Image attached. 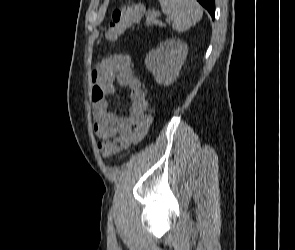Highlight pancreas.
<instances>
[{"instance_id":"pancreas-1","label":"pancreas","mask_w":295,"mask_h":250,"mask_svg":"<svg viewBox=\"0 0 295 250\" xmlns=\"http://www.w3.org/2000/svg\"><path fill=\"white\" fill-rule=\"evenodd\" d=\"M157 13L154 11H148L146 13V25H153V24H159V22L156 20Z\"/></svg>"}]
</instances>
